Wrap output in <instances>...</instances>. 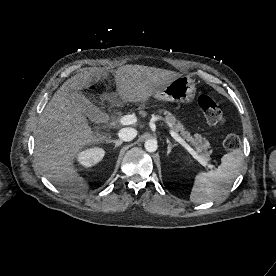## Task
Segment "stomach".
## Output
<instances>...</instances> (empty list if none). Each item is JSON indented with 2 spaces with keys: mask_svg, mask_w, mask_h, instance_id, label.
Instances as JSON below:
<instances>
[{
  "mask_svg": "<svg viewBox=\"0 0 276 276\" xmlns=\"http://www.w3.org/2000/svg\"><path fill=\"white\" fill-rule=\"evenodd\" d=\"M196 95V87L189 76H179L170 83L159 88L154 97L162 101L191 103Z\"/></svg>",
  "mask_w": 276,
  "mask_h": 276,
  "instance_id": "0dacf381",
  "label": "stomach"
}]
</instances>
